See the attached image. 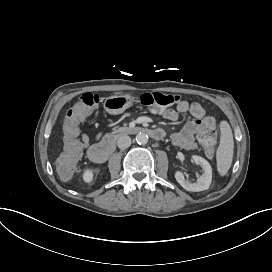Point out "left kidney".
<instances>
[{
  "instance_id": "obj_1",
  "label": "left kidney",
  "mask_w": 272,
  "mask_h": 272,
  "mask_svg": "<svg viewBox=\"0 0 272 272\" xmlns=\"http://www.w3.org/2000/svg\"><path fill=\"white\" fill-rule=\"evenodd\" d=\"M190 159L201 167L202 175L198 177L197 181H189L185 179L181 170H176L174 173L175 179L187 191H202L208 189L212 181V168L210 164L207 160L198 155L192 154L190 155Z\"/></svg>"
}]
</instances>
